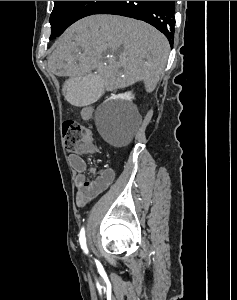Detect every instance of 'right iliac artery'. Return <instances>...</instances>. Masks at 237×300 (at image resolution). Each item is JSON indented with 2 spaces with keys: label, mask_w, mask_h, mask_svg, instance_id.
Returning <instances> with one entry per match:
<instances>
[{
  "label": "right iliac artery",
  "mask_w": 237,
  "mask_h": 300,
  "mask_svg": "<svg viewBox=\"0 0 237 300\" xmlns=\"http://www.w3.org/2000/svg\"><path fill=\"white\" fill-rule=\"evenodd\" d=\"M79 241H80L81 248L85 251V253H88V249H87V246H86V238H85L84 228H82L81 231H80Z\"/></svg>",
  "instance_id": "82829eb1"
}]
</instances>
